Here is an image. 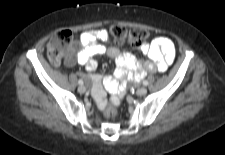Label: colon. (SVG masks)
<instances>
[{"instance_id": "colon-1", "label": "colon", "mask_w": 225, "mask_h": 155, "mask_svg": "<svg viewBox=\"0 0 225 155\" xmlns=\"http://www.w3.org/2000/svg\"><path fill=\"white\" fill-rule=\"evenodd\" d=\"M110 38L119 44L130 43L134 46H141L147 40L149 34L143 29H127L119 25H113L109 29ZM73 35L69 30L56 32L47 43V55L53 64H59L63 57L70 54L69 48L72 44ZM105 115L108 118L116 117V106L111 101L107 103Z\"/></svg>"}]
</instances>
